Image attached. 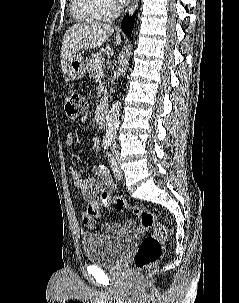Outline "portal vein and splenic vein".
<instances>
[{"mask_svg": "<svg viewBox=\"0 0 239 303\" xmlns=\"http://www.w3.org/2000/svg\"><path fill=\"white\" fill-rule=\"evenodd\" d=\"M103 75H104L103 70H102V68L100 67V68L98 69V71H97V76H98V78H100V77H103Z\"/></svg>", "mask_w": 239, "mask_h": 303, "instance_id": "1", "label": "portal vein and splenic vein"}]
</instances>
